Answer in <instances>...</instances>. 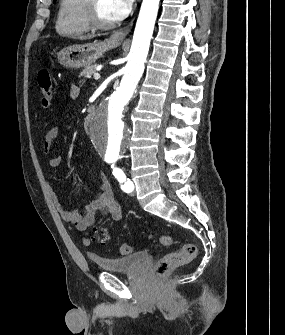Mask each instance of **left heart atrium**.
I'll return each mask as SVG.
<instances>
[{
  "mask_svg": "<svg viewBox=\"0 0 285 335\" xmlns=\"http://www.w3.org/2000/svg\"><path fill=\"white\" fill-rule=\"evenodd\" d=\"M132 3L133 1H108L113 23L119 22L127 15Z\"/></svg>",
  "mask_w": 285,
  "mask_h": 335,
  "instance_id": "left-heart-atrium-1",
  "label": "left heart atrium"
}]
</instances>
